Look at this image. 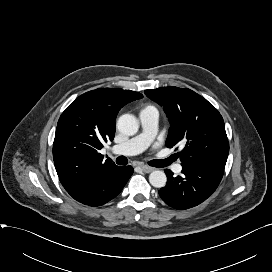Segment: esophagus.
<instances>
[{"label":"esophagus","mask_w":272,"mask_h":272,"mask_svg":"<svg viewBox=\"0 0 272 272\" xmlns=\"http://www.w3.org/2000/svg\"><path fill=\"white\" fill-rule=\"evenodd\" d=\"M140 168L145 173H150L154 170V168L146 166V165H141Z\"/></svg>","instance_id":"1"}]
</instances>
